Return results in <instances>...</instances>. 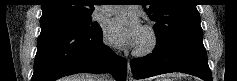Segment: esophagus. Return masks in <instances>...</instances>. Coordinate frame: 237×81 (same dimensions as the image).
<instances>
[{
  "instance_id": "1",
  "label": "esophagus",
  "mask_w": 237,
  "mask_h": 81,
  "mask_svg": "<svg viewBox=\"0 0 237 81\" xmlns=\"http://www.w3.org/2000/svg\"><path fill=\"white\" fill-rule=\"evenodd\" d=\"M127 81H133V75H132L129 62L127 64Z\"/></svg>"
}]
</instances>
